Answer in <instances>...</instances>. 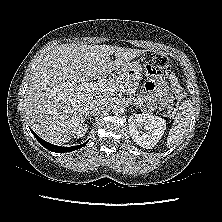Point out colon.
I'll return each mask as SVG.
<instances>
[{
	"mask_svg": "<svg viewBox=\"0 0 222 222\" xmlns=\"http://www.w3.org/2000/svg\"><path fill=\"white\" fill-rule=\"evenodd\" d=\"M148 73L156 74L159 72H168L171 69V61L167 56L161 53H155L149 65L146 67ZM169 88L172 89L173 86L169 84ZM177 112V100L173 98L169 104V114L174 116Z\"/></svg>",
	"mask_w": 222,
	"mask_h": 222,
	"instance_id": "colon-1",
	"label": "colon"
}]
</instances>
